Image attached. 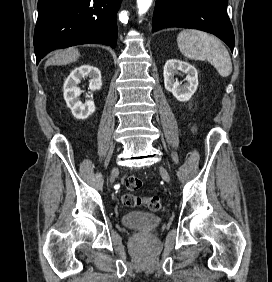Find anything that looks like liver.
<instances>
[{
    "label": "liver",
    "mask_w": 272,
    "mask_h": 282,
    "mask_svg": "<svg viewBox=\"0 0 272 282\" xmlns=\"http://www.w3.org/2000/svg\"><path fill=\"white\" fill-rule=\"evenodd\" d=\"M80 56L78 49L69 48L64 51H59L55 53L48 61L46 62V66L48 65H65L72 62H75Z\"/></svg>",
    "instance_id": "1"
}]
</instances>
